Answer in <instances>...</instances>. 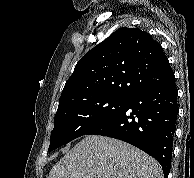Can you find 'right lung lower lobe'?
Instances as JSON below:
<instances>
[{
    "label": "right lung lower lobe",
    "mask_w": 194,
    "mask_h": 178,
    "mask_svg": "<svg viewBox=\"0 0 194 178\" xmlns=\"http://www.w3.org/2000/svg\"><path fill=\"white\" fill-rule=\"evenodd\" d=\"M177 94L173 75L132 94L117 112L87 134L120 139L138 147L160 163L167 178L179 112Z\"/></svg>",
    "instance_id": "1"
}]
</instances>
